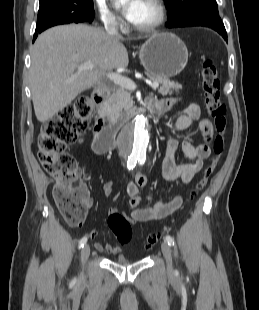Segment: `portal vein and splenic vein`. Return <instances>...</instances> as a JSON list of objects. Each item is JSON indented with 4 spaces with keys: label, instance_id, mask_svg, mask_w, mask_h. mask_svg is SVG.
<instances>
[{
    "label": "portal vein and splenic vein",
    "instance_id": "18ae733b",
    "mask_svg": "<svg viewBox=\"0 0 259 310\" xmlns=\"http://www.w3.org/2000/svg\"><path fill=\"white\" fill-rule=\"evenodd\" d=\"M95 65L91 62H84L80 65H78V69L79 70H87V69H94ZM107 77L114 82L115 84L128 89V90H135L137 88V85L135 84V82H133L131 79L124 77L120 74L117 73H113V72H109L107 73ZM147 84L153 88V89H157L159 87V83L158 82H147Z\"/></svg>",
    "mask_w": 259,
    "mask_h": 310
}]
</instances>
